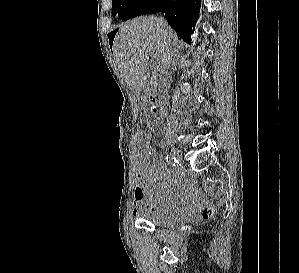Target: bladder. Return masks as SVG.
<instances>
[{
    "instance_id": "obj_1",
    "label": "bladder",
    "mask_w": 299,
    "mask_h": 273,
    "mask_svg": "<svg viewBox=\"0 0 299 273\" xmlns=\"http://www.w3.org/2000/svg\"><path fill=\"white\" fill-rule=\"evenodd\" d=\"M138 217L161 229L170 228L181 220V217L176 214L162 215L148 210L141 211Z\"/></svg>"
}]
</instances>
